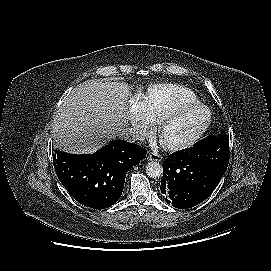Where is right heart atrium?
Here are the masks:
<instances>
[{
    "mask_svg": "<svg viewBox=\"0 0 271 271\" xmlns=\"http://www.w3.org/2000/svg\"><path fill=\"white\" fill-rule=\"evenodd\" d=\"M128 123L137 137H144L151 131L153 123L145 111L143 96L134 97Z\"/></svg>",
    "mask_w": 271,
    "mask_h": 271,
    "instance_id": "obj_1",
    "label": "right heart atrium"
}]
</instances>
